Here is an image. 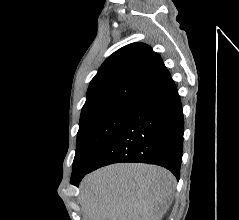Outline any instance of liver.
Wrapping results in <instances>:
<instances>
[{"instance_id": "liver-1", "label": "liver", "mask_w": 239, "mask_h": 220, "mask_svg": "<svg viewBox=\"0 0 239 220\" xmlns=\"http://www.w3.org/2000/svg\"><path fill=\"white\" fill-rule=\"evenodd\" d=\"M175 187V177L164 168L118 163L88 174L79 201L85 220H161Z\"/></svg>"}]
</instances>
